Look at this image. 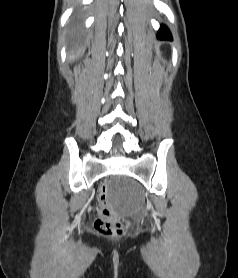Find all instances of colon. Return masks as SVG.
<instances>
[{
    "mask_svg": "<svg viewBox=\"0 0 238 278\" xmlns=\"http://www.w3.org/2000/svg\"><path fill=\"white\" fill-rule=\"evenodd\" d=\"M108 178H103V183L98 186L100 197V216L94 222L95 231L103 236L118 237L123 234V227L116 213L108 204L106 197H109Z\"/></svg>",
    "mask_w": 238,
    "mask_h": 278,
    "instance_id": "obj_1",
    "label": "colon"
}]
</instances>
